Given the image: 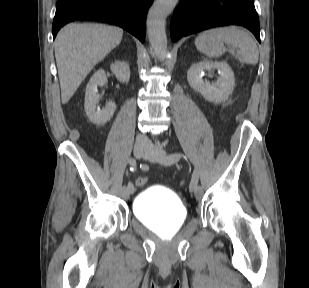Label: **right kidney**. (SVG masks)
I'll use <instances>...</instances> for the list:
<instances>
[{
  "mask_svg": "<svg viewBox=\"0 0 309 288\" xmlns=\"http://www.w3.org/2000/svg\"><path fill=\"white\" fill-rule=\"evenodd\" d=\"M111 72L121 83H127L130 79V68L125 62L117 61L110 66ZM107 83V77L104 70H98L94 73L86 87L85 93V113L91 122L103 125L108 122L116 110V104L109 102L102 110H96L99 100L98 86H103Z\"/></svg>",
  "mask_w": 309,
  "mask_h": 288,
  "instance_id": "1",
  "label": "right kidney"
}]
</instances>
